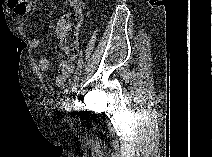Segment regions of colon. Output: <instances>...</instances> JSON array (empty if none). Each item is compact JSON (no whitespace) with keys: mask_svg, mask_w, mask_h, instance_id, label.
I'll return each mask as SVG.
<instances>
[{"mask_svg":"<svg viewBox=\"0 0 212 157\" xmlns=\"http://www.w3.org/2000/svg\"><path fill=\"white\" fill-rule=\"evenodd\" d=\"M64 19L67 22V28L57 37L58 44L67 57L75 58L79 53L78 38L79 27L83 22L82 7L75 6L66 10Z\"/></svg>","mask_w":212,"mask_h":157,"instance_id":"colon-1","label":"colon"}]
</instances>
